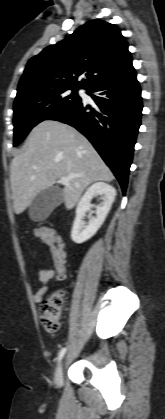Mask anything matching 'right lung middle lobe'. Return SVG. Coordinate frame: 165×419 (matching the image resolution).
<instances>
[{"mask_svg":"<svg viewBox=\"0 0 165 419\" xmlns=\"http://www.w3.org/2000/svg\"><path fill=\"white\" fill-rule=\"evenodd\" d=\"M80 100L77 89L68 87L40 91L15 101L13 145L17 146L38 123L74 106Z\"/></svg>","mask_w":165,"mask_h":419,"instance_id":"right-lung-middle-lobe-1","label":"right lung middle lobe"}]
</instances>
